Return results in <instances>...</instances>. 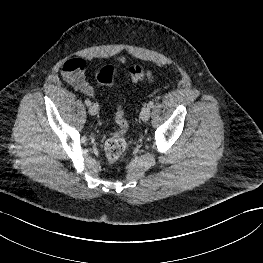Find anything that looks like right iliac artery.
I'll return each mask as SVG.
<instances>
[{
	"mask_svg": "<svg viewBox=\"0 0 263 263\" xmlns=\"http://www.w3.org/2000/svg\"><path fill=\"white\" fill-rule=\"evenodd\" d=\"M85 104H86L87 106H90V105H91V101H90L89 99H86V100H85Z\"/></svg>",
	"mask_w": 263,
	"mask_h": 263,
	"instance_id": "obj_1",
	"label": "right iliac artery"
}]
</instances>
